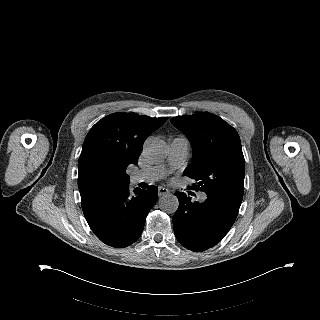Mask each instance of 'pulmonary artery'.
Listing matches in <instances>:
<instances>
[{"instance_id":"obj_1","label":"pulmonary artery","mask_w":320,"mask_h":320,"mask_svg":"<svg viewBox=\"0 0 320 320\" xmlns=\"http://www.w3.org/2000/svg\"><path fill=\"white\" fill-rule=\"evenodd\" d=\"M189 142L185 137H175L170 140V152L167 164L155 166L147 170L137 171L131 176V182H154L167 176L172 169L180 166L186 159ZM206 195L200 194L199 199L205 200Z\"/></svg>"}]
</instances>
